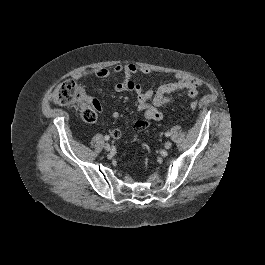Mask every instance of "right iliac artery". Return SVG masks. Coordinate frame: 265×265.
Wrapping results in <instances>:
<instances>
[{
  "label": "right iliac artery",
  "mask_w": 265,
  "mask_h": 265,
  "mask_svg": "<svg viewBox=\"0 0 265 265\" xmlns=\"http://www.w3.org/2000/svg\"><path fill=\"white\" fill-rule=\"evenodd\" d=\"M104 139H105L106 141H109V140H110V137H109L108 135H106V136L104 137Z\"/></svg>",
  "instance_id": "obj_1"
}]
</instances>
